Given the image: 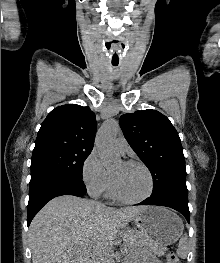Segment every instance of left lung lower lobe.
I'll use <instances>...</instances> for the list:
<instances>
[{
    "label": "left lung lower lobe",
    "instance_id": "1",
    "mask_svg": "<svg viewBox=\"0 0 220 263\" xmlns=\"http://www.w3.org/2000/svg\"><path fill=\"white\" fill-rule=\"evenodd\" d=\"M137 205H158L170 207L180 212L187 219L188 223L190 222L188 200H182L173 195L150 196L149 198L145 199Z\"/></svg>",
    "mask_w": 220,
    "mask_h": 263
}]
</instances>
